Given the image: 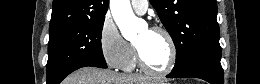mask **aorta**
<instances>
[{"instance_id":"aorta-1","label":"aorta","mask_w":260,"mask_h":84,"mask_svg":"<svg viewBox=\"0 0 260 84\" xmlns=\"http://www.w3.org/2000/svg\"><path fill=\"white\" fill-rule=\"evenodd\" d=\"M110 9L123 37L127 40L134 39L140 30L141 22L133 13L130 0H110Z\"/></svg>"}]
</instances>
